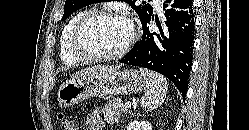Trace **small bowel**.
<instances>
[{"label":"small bowel","mask_w":249,"mask_h":130,"mask_svg":"<svg viewBox=\"0 0 249 130\" xmlns=\"http://www.w3.org/2000/svg\"><path fill=\"white\" fill-rule=\"evenodd\" d=\"M104 123L97 111H92L86 118V130H103Z\"/></svg>","instance_id":"1"}]
</instances>
